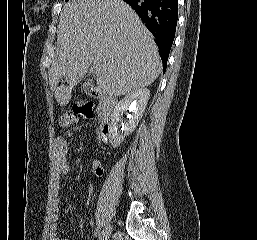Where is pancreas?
<instances>
[{
  "label": "pancreas",
  "instance_id": "pancreas-1",
  "mask_svg": "<svg viewBox=\"0 0 257 240\" xmlns=\"http://www.w3.org/2000/svg\"><path fill=\"white\" fill-rule=\"evenodd\" d=\"M99 105H100V106H99L100 108H102V107H103V105H101V103H100Z\"/></svg>",
  "mask_w": 257,
  "mask_h": 240
}]
</instances>
